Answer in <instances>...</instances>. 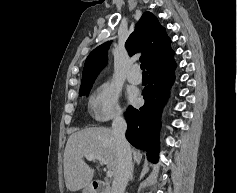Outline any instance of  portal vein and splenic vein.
<instances>
[{
  "label": "portal vein and splenic vein",
  "mask_w": 237,
  "mask_h": 193,
  "mask_svg": "<svg viewBox=\"0 0 237 193\" xmlns=\"http://www.w3.org/2000/svg\"><path fill=\"white\" fill-rule=\"evenodd\" d=\"M85 157L89 161L97 159L100 161L101 164H106L105 159L100 155H86ZM106 175L108 178H111L113 176V172L111 170H108Z\"/></svg>",
  "instance_id": "1"
}]
</instances>
